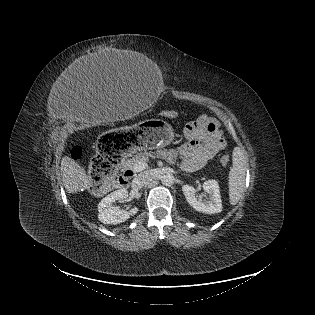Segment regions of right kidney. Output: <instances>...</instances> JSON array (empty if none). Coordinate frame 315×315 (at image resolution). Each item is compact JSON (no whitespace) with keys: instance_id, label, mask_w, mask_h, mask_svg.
<instances>
[{"instance_id":"1","label":"right kidney","mask_w":315,"mask_h":315,"mask_svg":"<svg viewBox=\"0 0 315 315\" xmlns=\"http://www.w3.org/2000/svg\"><path fill=\"white\" fill-rule=\"evenodd\" d=\"M128 196L126 189H120L108 194L98 204V219L104 224H119L125 222L130 216L138 212V208H132L130 211L122 210L113 205L117 200L125 199Z\"/></svg>"}]
</instances>
